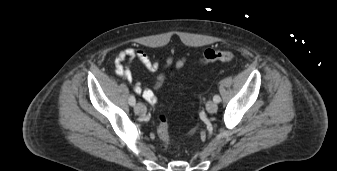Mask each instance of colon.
Instances as JSON below:
<instances>
[{
	"label": "colon",
	"instance_id": "colon-1",
	"mask_svg": "<svg viewBox=\"0 0 337 171\" xmlns=\"http://www.w3.org/2000/svg\"><path fill=\"white\" fill-rule=\"evenodd\" d=\"M234 59V54L230 50H216V49H208L203 53L200 62L202 64H208L212 62H229ZM170 74L174 72V68H169ZM167 78V74H162L158 77L156 88H160ZM159 125H158V137L161 141V146L163 149H167L170 145V135H169V127L170 124L167 118L164 115H159L158 117Z\"/></svg>",
	"mask_w": 337,
	"mask_h": 171
}]
</instances>
